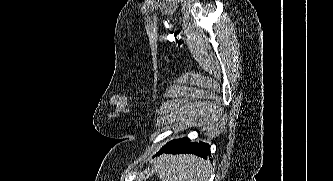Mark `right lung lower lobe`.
I'll return each mask as SVG.
<instances>
[{
    "mask_svg": "<svg viewBox=\"0 0 333 181\" xmlns=\"http://www.w3.org/2000/svg\"><path fill=\"white\" fill-rule=\"evenodd\" d=\"M163 152L172 154H195L203 158H207L208 155H211L210 146L208 144L203 142H200V144L196 142L191 143L188 138L179 139L178 141L169 146H164L157 155Z\"/></svg>",
    "mask_w": 333,
    "mask_h": 181,
    "instance_id": "obj_1",
    "label": "right lung lower lobe"
}]
</instances>
